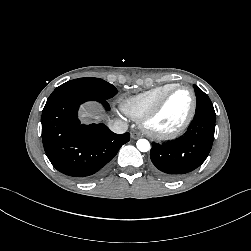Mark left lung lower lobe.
Masks as SVG:
<instances>
[{"label": "left lung lower lobe", "mask_w": 251, "mask_h": 251, "mask_svg": "<svg viewBox=\"0 0 251 251\" xmlns=\"http://www.w3.org/2000/svg\"><path fill=\"white\" fill-rule=\"evenodd\" d=\"M216 115L195 113L187 132L180 138L152 143V169L159 176L175 180L199 167L207 158L214 140Z\"/></svg>", "instance_id": "obj_1"}]
</instances>
